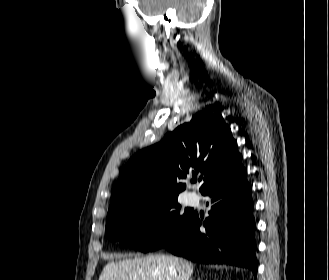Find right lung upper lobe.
<instances>
[{
    "instance_id": "cb5924a9",
    "label": "right lung upper lobe",
    "mask_w": 329,
    "mask_h": 280,
    "mask_svg": "<svg viewBox=\"0 0 329 280\" xmlns=\"http://www.w3.org/2000/svg\"><path fill=\"white\" fill-rule=\"evenodd\" d=\"M236 147L221 114L196 113L189 123L179 125L128 161L115 185L109 211L144 197H178L186 188L181 180L191 173L204 175L202 192L241 164Z\"/></svg>"
}]
</instances>
